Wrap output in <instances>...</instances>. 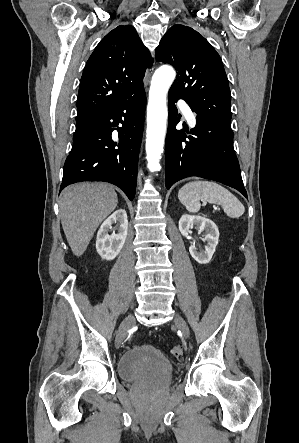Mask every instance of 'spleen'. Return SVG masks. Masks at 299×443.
Masks as SVG:
<instances>
[{
	"label": "spleen",
	"mask_w": 299,
	"mask_h": 443,
	"mask_svg": "<svg viewBox=\"0 0 299 443\" xmlns=\"http://www.w3.org/2000/svg\"><path fill=\"white\" fill-rule=\"evenodd\" d=\"M180 202L191 213L200 210V200L221 205L231 218H238L245 212L243 204L229 190L211 181H194L185 184L178 192Z\"/></svg>",
	"instance_id": "spleen-1"
}]
</instances>
